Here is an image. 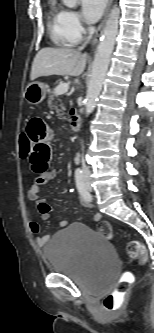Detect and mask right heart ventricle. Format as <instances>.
Instances as JSON below:
<instances>
[{"label": "right heart ventricle", "mask_w": 154, "mask_h": 333, "mask_svg": "<svg viewBox=\"0 0 154 333\" xmlns=\"http://www.w3.org/2000/svg\"><path fill=\"white\" fill-rule=\"evenodd\" d=\"M65 11L61 6L54 3L51 5L48 13V30L53 42L61 47L72 45V42L66 32Z\"/></svg>", "instance_id": "obj_1"}]
</instances>
